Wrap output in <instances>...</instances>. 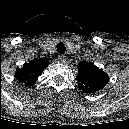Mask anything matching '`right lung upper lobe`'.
<instances>
[{"instance_id": "right-lung-upper-lobe-1", "label": "right lung upper lobe", "mask_w": 129, "mask_h": 129, "mask_svg": "<svg viewBox=\"0 0 129 129\" xmlns=\"http://www.w3.org/2000/svg\"><path fill=\"white\" fill-rule=\"evenodd\" d=\"M47 65V60H32L30 63H26L20 70L19 80L22 82L33 81L41 74Z\"/></svg>"}]
</instances>
